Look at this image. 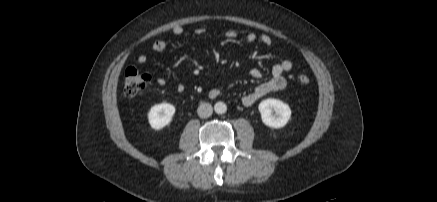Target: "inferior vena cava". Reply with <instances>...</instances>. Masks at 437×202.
I'll return each mask as SVG.
<instances>
[{
  "label": "inferior vena cava",
  "instance_id": "inferior-vena-cava-1",
  "mask_svg": "<svg viewBox=\"0 0 437 202\" xmlns=\"http://www.w3.org/2000/svg\"><path fill=\"white\" fill-rule=\"evenodd\" d=\"M213 108L209 103H201L197 109V113L201 118H208L212 115Z\"/></svg>",
  "mask_w": 437,
  "mask_h": 202
}]
</instances>
